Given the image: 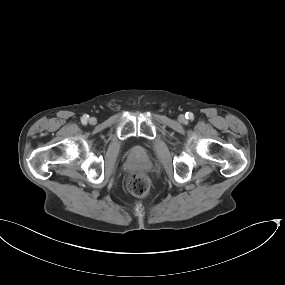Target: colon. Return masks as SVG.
<instances>
[{"instance_id": "obj_1", "label": "colon", "mask_w": 285, "mask_h": 285, "mask_svg": "<svg viewBox=\"0 0 285 285\" xmlns=\"http://www.w3.org/2000/svg\"><path fill=\"white\" fill-rule=\"evenodd\" d=\"M127 188L134 196L145 198L150 192L151 181L144 173H134L128 177Z\"/></svg>"}]
</instances>
